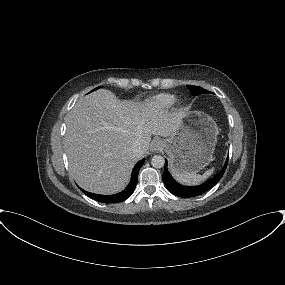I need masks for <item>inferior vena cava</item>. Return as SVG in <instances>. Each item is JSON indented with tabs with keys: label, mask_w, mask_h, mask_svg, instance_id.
I'll return each instance as SVG.
<instances>
[{
	"label": "inferior vena cava",
	"mask_w": 285,
	"mask_h": 285,
	"mask_svg": "<svg viewBox=\"0 0 285 285\" xmlns=\"http://www.w3.org/2000/svg\"><path fill=\"white\" fill-rule=\"evenodd\" d=\"M130 150L135 156H140L142 154L143 148L141 143L135 141L132 143Z\"/></svg>",
	"instance_id": "inferior-vena-cava-1"
}]
</instances>
